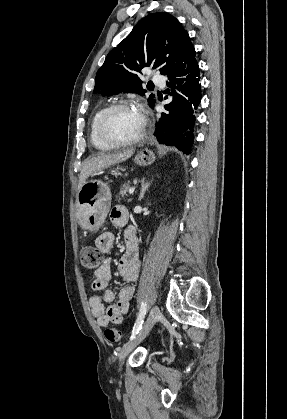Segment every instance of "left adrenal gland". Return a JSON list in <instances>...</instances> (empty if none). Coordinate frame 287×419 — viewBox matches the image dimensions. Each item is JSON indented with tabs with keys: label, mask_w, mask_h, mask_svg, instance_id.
Listing matches in <instances>:
<instances>
[{
	"label": "left adrenal gland",
	"mask_w": 287,
	"mask_h": 419,
	"mask_svg": "<svg viewBox=\"0 0 287 419\" xmlns=\"http://www.w3.org/2000/svg\"><path fill=\"white\" fill-rule=\"evenodd\" d=\"M151 182H152V180L150 182H146L145 181V178L142 179V181H141V192H140V196H139V201H141L142 198L144 197V194H145L146 190H148Z\"/></svg>",
	"instance_id": "a2214340"
}]
</instances>
